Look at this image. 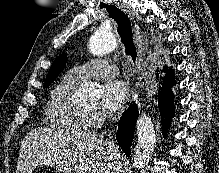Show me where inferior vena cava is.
I'll return each mask as SVG.
<instances>
[{
  "instance_id": "inferior-vena-cava-1",
  "label": "inferior vena cava",
  "mask_w": 219,
  "mask_h": 173,
  "mask_svg": "<svg viewBox=\"0 0 219 173\" xmlns=\"http://www.w3.org/2000/svg\"><path fill=\"white\" fill-rule=\"evenodd\" d=\"M109 148H110V151L112 152V157L113 158H116L118 156V148L117 146L113 143V142H109Z\"/></svg>"
}]
</instances>
